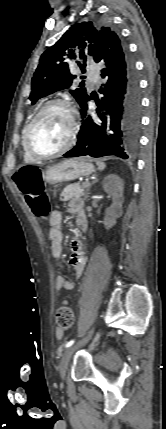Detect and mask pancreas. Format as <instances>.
Wrapping results in <instances>:
<instances>
[{"mask_svg": "<svg viewBox=\"0 0 166 429\" xmlns=\"http://www.w3.org/2000/svg\"><path fill=\"white\" fill-rule=\"evenodd\" d=\"M86 187H88L87 184L80 185L79 183L66 186L61 194V201H68L74 197L83 196Z\"/></svg>", "mask_w": 166, "mask_h": 429, "instance_id": "obj_1", "label": "pancreas"}]
</instances>
